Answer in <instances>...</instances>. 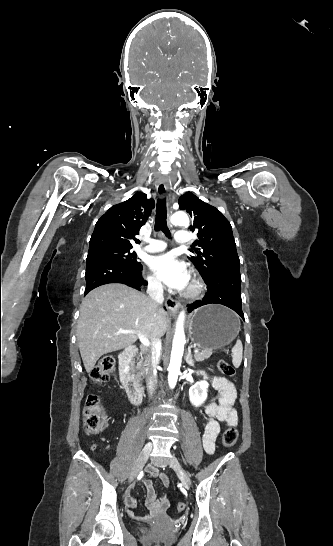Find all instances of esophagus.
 Returning <instances> with one entry per match:
<instances>
[{"label":"esophagus","instance_id":"obj_1","mask_svg":"<svg viewBox=\"0 0 333 546\" xmlns=\"http://www.w3.org/2000/svg\"><path fill=\"white\" fill-rule=\"evenodd\" d=\"M168 191L169 184L165 178H162L157 185V195L159 198H164L167 195ZM165 305L171 315H176L180 308V302L170 297L166 298Z\"/></svg>","mask_w":333,"mask_h":546}]
</instances>
